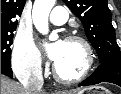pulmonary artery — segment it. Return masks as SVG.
<instances>
[{"instance_id": "pulmonary-artery-1", "label": "pulmonary artery", "mask_w": 121, "mask_h": 94, "mask_svg": "<svg viewBox=\"0 0 121 94\" xmlns=\"http://www.w3.org/2000/svg\"><path fill=\"white\" fill-rule=\"evenodd\" d=\"M67 18V9L61 6H57L53 8L49 19L55 25H63L67 21Z\"/></svg>"}]
</instances>
